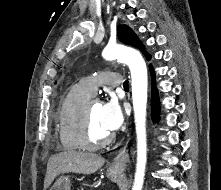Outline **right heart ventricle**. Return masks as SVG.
I'll list each match as a JSON object with an SVG mask.
<instances>
[{"label":"right heart ventricle","instance_id":"right-heart-ventricle-1","mask_svg":"<svg viewBox=\"0 0 221 190\" xmlns=\"http://www.w3.org/2000/svg\"><path fill=\"white\" fill-rule=\"evenodd\" d=\"M91 96L78 83L68 90L61 101L57 114V128L60 143L66 151L86 149L81 135L82 113Z\"/></svg>","mask_w":221,"mask_h":190}]
</instances>
